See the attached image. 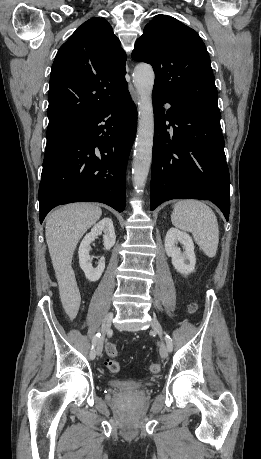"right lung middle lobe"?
<instances>
[{
    "label": "right lung middle lobe",
    "instance_id": "obj_1",
    "mask_svg": "<svg viewBox=\"0 0 261 459\" xmlns=\"http://www.w3.org/2000/svg\"><path fill=\"white\" fill-rule=\"evenodd\" d=\"M82 123L78 122H63L59 124H55L52 126H48L46 137H47V144L46 149H49L62 140H64L67 136H69L73 131H75Z\"/></svg>",
    "mask_w": 261,
    "mask_h": 459
}]
</instances>
